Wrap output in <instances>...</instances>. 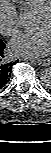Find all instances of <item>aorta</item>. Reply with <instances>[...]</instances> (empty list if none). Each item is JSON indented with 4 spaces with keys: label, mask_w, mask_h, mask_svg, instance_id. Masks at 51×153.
<instances>
[{
    "label": "aorta",
    "mask_w": 51,
    "mask_h": 153,
    "mask_svg": "<svg viewBox=\"0 0 51 153\" xmlns=\"http://www.w3.org/2000/svg\"><path fill=\"white\" fill-rule=\"evenodd\" d=\"M41 81L45 86L51 85V69L47 68L41 73Z\"/></svg>",
    "instance_id": "aorta-1"
}]
</instances>
